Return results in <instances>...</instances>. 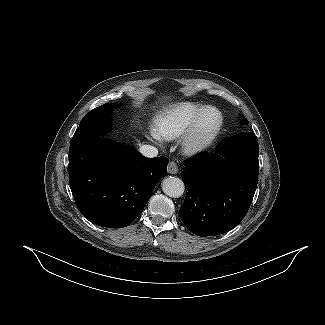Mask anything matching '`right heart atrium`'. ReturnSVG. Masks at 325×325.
Instances as JSON below:
<instances>
[{"instance_id": "d8ad5b80", "label": "right heart atrium", "mask_w": 325, "mask_h": 325, "mask_svg": "<svg viewBox=\"0 0 325 325\" xmlns=\"http://www.w3.org/2000/svg\"><path fill=\"white\" fill-rule=\"evenodd\" d=\"M154 138L158 139V137H157V136H154Z\"/></svg>"}]
</instances>
